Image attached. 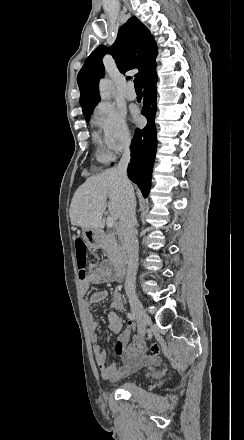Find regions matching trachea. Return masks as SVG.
Instances as JSON below:
<instances>
[{
	"mask_svg": "<svg viewBox=\"0 0 244 440\" xmlns=\"http://www.w3.org/2000/svg\"><path fill=\"white\" fill-rule=\"evenodd\" d=\"M134 85L136 92H142V87H143L142 78L136 77L134 79Z\"/></svg>",
	"mask_w": 244,
	"mask_h": 440,
	"instance_id": "3493384b",
	"label": "trachea"
}]
</instances>
